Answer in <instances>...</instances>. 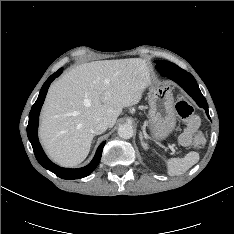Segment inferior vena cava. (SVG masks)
<instances>
[{"mask_svg":"<svg viewBox=\"0 0 234 234\" xmlns=\"http://www.w3.org/2000/svg\"><path fill=\"white\" fill-rule=\"evenodd\" d=\"M108 128V123L100 118H97L93 121L91 131L93 134L98 135L102 134Z\"/></svg>","mask_w":234,"mask_h":234,"instance_id":"602c4592","label":"inferior vena cava"}]
</instances>
